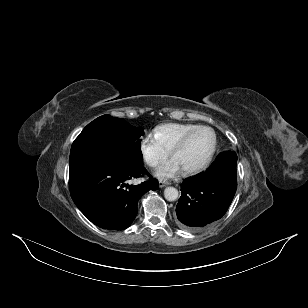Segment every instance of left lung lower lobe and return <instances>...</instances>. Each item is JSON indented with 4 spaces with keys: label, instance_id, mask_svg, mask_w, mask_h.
Here are the masks:
<instances>
[{
    "label": "left lung lower lobe",
    "instance_id": "obj_1",
    "mask_svg": "<svg viewBox=\"0 0 308 308\" xmlns=\"http://www.w3.org/2000/svg\"><path fill=\"white\" fill-rule=\"evenodd\" d=\"M236 163L235 152H223L205 172L183 182L176 207L181 227L200 230L226 213L237 189Z\"/></svg>",
    "mask_w": 308,
    "mask_h": 308
}]
</instances>
